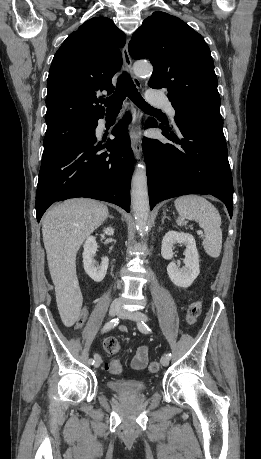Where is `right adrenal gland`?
Wrapping results in <instances>:
<instances>
[{"label":"right adrenal gland","mask_w":261,"mask_h":459,"mask_svg":"<svg viewBox=\"0 0 261 459\" xmlns=\"http://www.w3.org/2000/svg\"><path fill=\"white\" fill-rule=\"evenodd\" d=\"M108 218H110V219H113V218H114V216L108 215Z\"/></svg>","instance_id":"obj_1"}]
</instances>
